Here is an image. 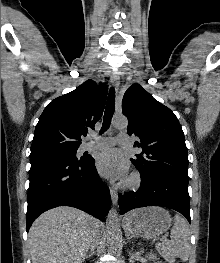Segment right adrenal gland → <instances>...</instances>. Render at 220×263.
I'll return each mask as SVG.
<instances>
[{"instance_id": "right-adrenal-gland-1", "label": "right adrenal gland", "mask_w": 220, "mask_h": 263, "mask_svg": "<svg viewBox=\"0 0 220 263\" xmlns=\"http://www.w3.org/2000/svg\"><path fill=\"white\" fill-rule=\"evenodd\" d=\"M94 254H95V249L92 248L91 252L86 256V258L91 257Z\"/></svg>"}]
</instances>
